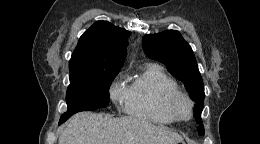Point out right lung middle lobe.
Listing matches in <instances>:
<instances>
[{"instance_id":"1","label":"right lung middle lobe","mask_w":260,"mask_h":144,"mask_svg":"<svg viewBox=\"0 0 260 144\" xmlns=\"http://www.w3.org/2000/svg\"><path fill=\"white\" fill-rule=\"evenodd\" d=\"M118 70L88 72L70 75V85L66 93L67 112L59 124L80 111H92L109 104V88L119 73Z\"/></svg>"}]
</instances>
